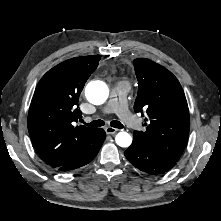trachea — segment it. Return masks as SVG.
I'll use <instances>...</instances> for the list:
<instances>
[{
  "label": "trachea",
  "instance_id": "trachea-1",
  "mask_svg": "<svg viewBox=\"0 0 221 221\" xmlns=\"http://www.w3.org/2000/svg\"><path fill=\"white\" fill-rule=\"evenodd\" d=\"M105 123L103 120H94L91 123H88L87 126L89 127H101L103 126ZM110 125L114 128H123V125L119 122V121H111Z\"/></svg>",
  "mask_w": 221,
  "mask_h": 221
}]
</instances>
